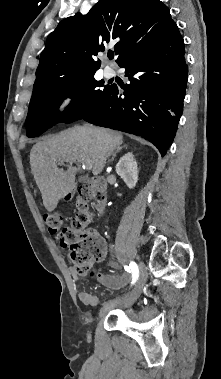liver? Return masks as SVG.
<instances>
[{"instance_id": "1", "label": "liver", "mask_w": 221, "mask_h": 379, "mask_svg": "<svg viewBox=\"0 0 221 379\" xmlns=\"http://www.w3.org/2000/svg\"><path fill=\"white\" fill-rule=\"evenodd\" d=\"M122 142L121 133L91 126L70 128L37 142L30 151V165L46 210L52 212L74 188L79 164L92 162V172L97 176ZM57 162H66L67 170L58 168Z\"/></svg>"}]
</instances>
